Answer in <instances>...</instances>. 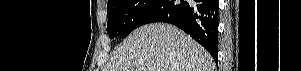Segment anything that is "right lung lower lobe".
I'll use <instances>...</instances> for the list:
<instances>
[{
    "label": "right lung lower lobe",
    "mask_w": 301,
    "mask_h": 71,
    "mask_svg": "<svg viewBox=\"0 0 301 71\" xmlns=\"http://www.w3.org/2000/svg\"><path fill=\"white\" fill-rule=\"evenodd\" d=\"M218 1L158 0L139 26L154 22L171 23L200 43L218 62Z\"/></svg>",
    "instance_id": "1"
}]
</instances>
